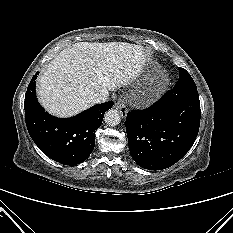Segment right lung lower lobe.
Listing matches in <instances>:
<instances>
[{
    "label": "right lung lower lobe",
    "instance_id": "right-lung-lower-lobe-1",
    "mask_svg": "<svg viewBox=\"0 0 233 233\" xmlns=\"http://www.w3.org/2000/svg\"><path fill=\"white\" fill-rule=\"evenodd\" d=\"M36 78L37 74L28 85L24 101L26 126L31 138L48 157L61 164L82 163L93 151L95 132L113 101L94 105L71 118H56L38 103Z\"/></svg>",
    "mask_w": 233,
    "mask_h": 233
}]
</instances>
